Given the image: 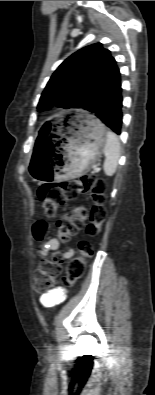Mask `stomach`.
Listing matches in <instances>:
<instances>
[{
    "mask_svg": "<svg viewBox=\"0 0 155 395\" xmlns=\"http://www.w3.org/2000/svg\"><path fill=\"white\" fill-rule=\"evenodd\" d=\"M62 135V143L51 158L47 152H35L29 164L34 181L71 179L83 174L97 161L106 142V129L94 115L75 110Z\"/></svg>",
    "mask_w": 155,
    "mask_h": 395,
    "instance_id": "0dacf381",
    "label": "stomach"
}]
</instances>
